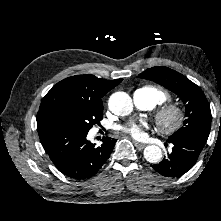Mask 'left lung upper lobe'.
I'll return each mask as SVG.
<instances>
[{
  "label": "left lung upper lobe",
  "mask_w": 221,
  "mask_h": 221,
  "mask_svg": "<svg viewBox=\"0 0 221 221\" xmlns=\"http://www.w3.org/2000/svg\"><path fill=\"white\" fill-rule=\"evenodd\" d=\"M140 78L152 80L174 92L185 104L184 125L171 137H180L197 131H210L211 110L202 90L184 75L168 67L156 66L139 74Z\"/></svg>",
  "instance_id": "obj_1"
}]
</instances>
